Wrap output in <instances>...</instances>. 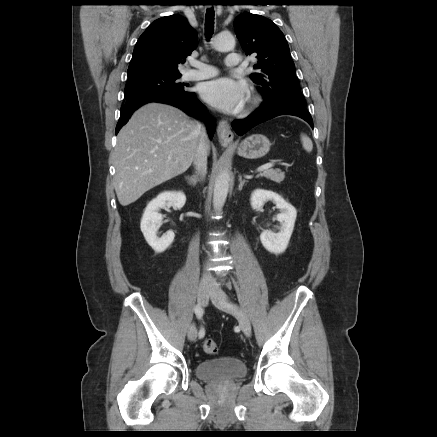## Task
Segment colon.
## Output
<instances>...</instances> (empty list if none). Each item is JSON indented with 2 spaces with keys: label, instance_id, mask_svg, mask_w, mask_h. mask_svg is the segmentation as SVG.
Masks as SVG:
<instances>
[{
  "label": "colon",
  "instance_id": "colon-1",
  "mask_svg": "<svg viewBox=\"0 0 437 437\" xmlns=\"http://www.w3.org/2000/svg\"><path fill=\"white\" fill-rule=\"evenodd\" d=\"M203 351L207 355H215L218 352L217 343L211 339H207L203 343Z\"/></svg>",
  "mask_w": 437,
  "mask_h": 437
}]
</instances>
